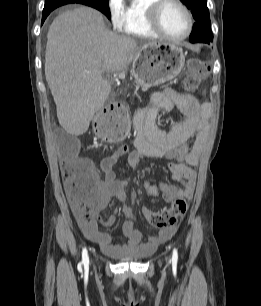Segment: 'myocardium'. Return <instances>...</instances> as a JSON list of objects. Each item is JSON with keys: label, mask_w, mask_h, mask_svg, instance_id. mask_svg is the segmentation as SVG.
<instances>
[{"label": "myocardium", "mask_w": 261, "mask_h": 306, "mask_svg": "<svg viewBox=\"0 0 261 306\" xmlns=\"http://www.w3.org/2000/svg\"><path fill=\"white\" fill-rule=\"evenodd\" d=\"M168 3H173L179 6L187 18V31L181 37H172L168 35L161 27V24L159 21V14L163 6H165ZM147 16H148V22L151 28L160 37L168 41H171V42H181L187 39L190 36L192 29H193V18H192L191 11L186 6V4L182 2L181 0H154L147 8Z\"/></svg>", "instance_id": "f54148a6"}]
</instances>
